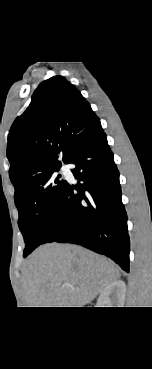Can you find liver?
<instances>
[{
    "instance_id": "6515ba94",
    "label": "liver",
    "mask_w": 152,
    "mask_h": 369,
    "mask_svg": "<svg viewBox=\"0 0 152 369\" xmlns=\"http://www.w3.org/2000/svg\"><path fill=\"white\" fill-rule=\"evenodd\" d=\"M120 275L118 267L104 256L76 245L46 244L25 263V305L84 307Z\"/></svg>"
}]
</instances>
